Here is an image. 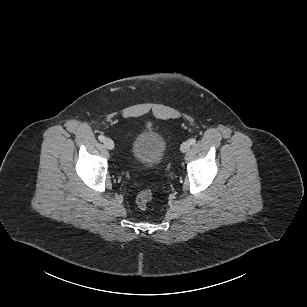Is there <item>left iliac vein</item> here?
<instances>
[{
    "instance_id": "obj_1",
    "label": "left iliac vein",
    "mask_w": 307,
    "mask_h": 307,
    "mask_svg": "<svg viewBox=\"0 0 307 307\" xmlns=\"http://www.w3.org/2000/svg\"><path fill=\"white\" fill-rule=\"evenodd\" d=\"M190 146H191L190 142H189V141H185V142H183V143L181 144L180 149H181V151H182L183 153H185V152H187V151L189 150Z\"/></svg>"
}]
</instances>
